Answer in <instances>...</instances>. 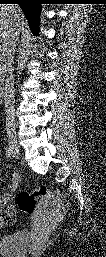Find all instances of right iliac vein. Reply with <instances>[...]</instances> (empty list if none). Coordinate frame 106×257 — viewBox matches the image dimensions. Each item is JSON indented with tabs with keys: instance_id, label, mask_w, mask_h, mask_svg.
<instances>
[{
	"instance_id": "1",
	"label": "right iliac vein",
	"mask_w": 106,
	"mask_h": 257,
	"mask_svg": "<svg viewBox=\"0 0 106 257\" xmlns=\"http://www.w3.org/2000/svg\"><path fill=\"white\" fill-rule=\"evenodd\" d=\"M8 142H9V146L12 150L13 157L18 159L20 157V148H19L16 138L13 134L9 135Z\"/></svg>"
}]
</instances>
